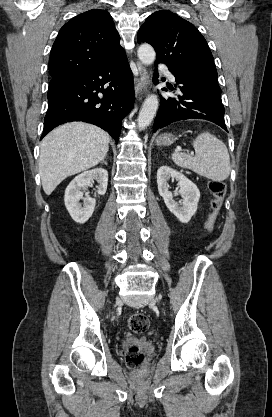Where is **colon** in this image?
I'll use <instances>...</instances> for the list:
<instances>
[{
  "mask_svg": "<svg viewBox=\"0 0 272 417\" xmlns=\"http://www.w3.org/2000/svg\"><path fill=\"white\" fill-rule=\"evenodd\" d=\"M209 189L213 195L211 200V210L203 225V232L210 233L215 225L218 213L223 205L226 194V184L220 180H213L209 183ZM128 328L135 333H143L149 327L148 318L141 313H135L128 318ZM145 360V354L138 345L129 347L126 354V362L132 369L139 368Z\"/></svg>",
  "mask_w": 272,
  "mask_h": 417,
  "instance_id": "5ec220e1",
  "label": "colon"
}]
</instances>
